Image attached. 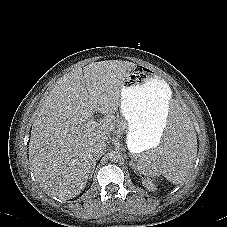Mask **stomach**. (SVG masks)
Masks as SVG:
<instances>
[{
  "label": "stomach",
  "mask_w": 227,
  "mask_h": 227,
  "mask_svg": "<svg viewBox=\"0 0 227 227\" xmlns=\"http://www.w3.org/2000/svg\"><path fill=\"white\" fill-rule=\"evenodd\" d=\"M172 92L167 82L144 66L127 72L120 111L127 125V146L136 158L156 147L168 128ZM138 166V165H137Z\"/></svg>",
  "instance_id": "stomach-1"
}]
</instances>
